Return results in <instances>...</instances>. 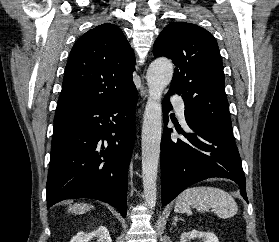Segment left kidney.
I'll return each mask as SVG.
<instances>
[{"label": "left kidney", "instance_id": "left-kidney-1", "mask_svg": "<svg viewBox=\"0 0 279 242\" xmlns=\"http://www.w3.org/2000/svg\"><path fill=\"white\" fill-rule=\"evenodd\" d=\"M194 238H202L204 242H219L214 233L192 230L181 235L180 242H190Z\"/></svg>", "mask_w": 279, "mask_h": 242}]
</instances>
